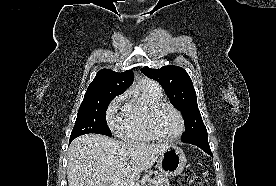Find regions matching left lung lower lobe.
<instances>
[{
    "instance_id": "obj_1",
    "label": "left lung lower lobe",
    "mask_w": 276,
    "mask_h": 186,
    "mask_svg": "<svg viewBox=\"0 0 276 186\" xmlns=\"http://www.w3.org/2000/svg\"><path fill=\"white\" fill-rule=\"evenodd\" d=\"M184 143H189L198 146L199 148L203 149L204 152L209 154L210 156L212 155L209 143H208V137H200V138H195V139H189V140H182Z\"/></svg>"
}]
</instances>
